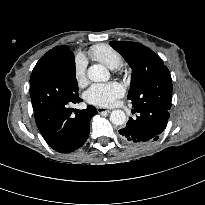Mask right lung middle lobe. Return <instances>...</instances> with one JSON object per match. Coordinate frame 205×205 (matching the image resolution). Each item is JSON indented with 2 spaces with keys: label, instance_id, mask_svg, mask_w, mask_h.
Masks as SVG:
<instances>
[{
  "label": "right lung middle lobe",
  "instance_id": "dd1d6c3e",
  "mask_svg": "<svg viewBox=\"0 0 205 205\" xmlns=\"http://www.w3.org/2000/svg\"><path fill=\"white\" fill-rule=\"evenodd\" d=\"M68 68L75 74V61L74 60H72L71 62H69L68 63ZM55 66L53 65V64H50V63H47V64H44V65H42L41 67H40V70H41V73L40 74H42V73H44L45 71H47V70H50V69H52V68H54ZM39 74V75H40ZM38 75V76H39Z\"/></svg>",
  "mask_w": 205,
  "mask_h": 205
}]
</instances>
